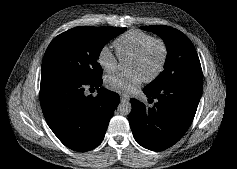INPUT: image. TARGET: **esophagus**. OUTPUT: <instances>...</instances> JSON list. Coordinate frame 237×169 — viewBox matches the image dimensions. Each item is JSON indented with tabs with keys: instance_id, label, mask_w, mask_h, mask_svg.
Segmentation results:
<instances>
[{
	"instance_id": "1",
	"label": "esophagus",
	"mask_w": 237,
	"mask_h": 169,
	"mask_svg": "<svg viewBox=\"0 0 237 169\" xmlns=\"http://www.w3.org/2000/svg\"><path fill=\"white\" fill-rule=\"evenodd\" d=\"M120 99L122 102H129V100H130V98L127 96H121Z\"/></svg>"
}]
</instances>
